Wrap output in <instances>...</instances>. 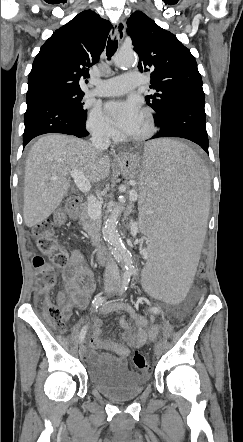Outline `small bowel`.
<instances>
[{
	"label": "small bowel",
	"mask_w": 243,
	"mask_h": 442,
	"mask_svg": "<svg viewBox=\"0 0 243 442\" xmlns=\"http://www.w3.org/2000/svg\"><path fill=\"white\" fill-rule=\"evenodd\" d=\"M62 278L64 288L57 295V304L66 313L68 318L73 306L81 309L87 307L91 293L95 288L93 275L86 265L84 255L79 250L71 252L69 263L62 271ZM113 310L127 311L129 318L137 328L136 332H133L128 320L125 317H121L118 323L124 330V343L103 340L101 338L103 322L101 319L96 318L93 321L94 332L89 340V345L93 349V354L97 350H107L117 354V360L120 365L126 366V358L129 355L130 348H140L143 346L155 336L157 329L155 327L146 329L149 325L148 320L138 316L128 304L106 305L102 309L104 313Z\"/></svg>",
	"instance_id": "c3829d8e"
}]
</instances>
